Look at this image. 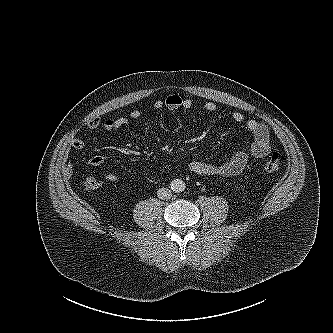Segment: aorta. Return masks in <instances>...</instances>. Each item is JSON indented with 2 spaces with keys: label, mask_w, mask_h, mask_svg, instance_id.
<instances>
[{
  "label": "aorta",
  "mask_w": 333,
  "mask_h": 333,
  "mask_svg": "<svg viewBox=\"0 0 333 333\" xmlns=\"http://www.w3.org/2000/svg\"><path fill=\"white\" fill-rule=\"evenodd\" d=\"M172 189L175 192H182L185 189V183L180 179H176L172 182Z\"/></svg>",
  "instance_id": "obj_1"
}]
</instances>
